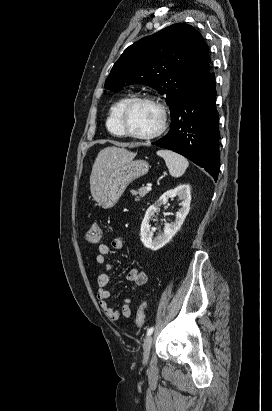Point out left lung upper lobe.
<instances>
[{
	"mask_svg": "<svg viewBox=\"0 0 272 411\" xmlns=\"http://www.w3.org/2000/svg\"><path fill=\"white\" fill-rule=\"evenodd\" d=\"M209 47L192 26L173 24L129 46L111 69L105 88L144 84L165 95L171 115L210 74Z\"/></svg>",
	"mask_w": 272,
	"mask_h": 411,
	"instance_id": "1",
	"label": "left lung upper lobe"
}]
</instances>
